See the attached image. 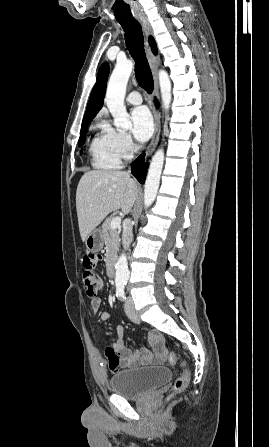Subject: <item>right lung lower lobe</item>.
I'll list each match as a JSON object with an SVG mask.
<instances>
[{"label":"right lung lower lobe","instance_id":"right-lung-lower-lobe-1","mask_svg":"<svg viewBox=\"0 0 269 447\" xmlns=\"http://www.w3.org/2000/svg\"><path fill=\"white\" fill-rule=\"evenodd\" d=\"M158 107V104L156 103ZM144 154L140 155L133 163H132V174L137 178V180L143 184L146 178L147 167L148 164L144 162Z\"/></svg>","mask_w":269,"mask_h":447}]
</instances>
